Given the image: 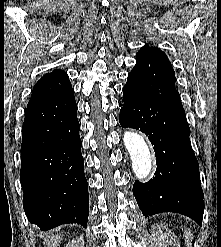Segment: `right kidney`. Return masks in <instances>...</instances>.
Masks as SVG:
<instances>
[{
	"label": "right kidney",
	"mask_w": 221,
	"mask_h": 247,
	"mask_svg": "<svg viewBox=\"0 0 221 247\" xmlns=\"http://www.w3.org/2000/svg\"><path fill=\"white\" fill-rule=\"evenodd\" d=\"M66 247H84L83 235L77 236L71 242H69Z\"/></svg>",
	"instance_id": "ca27d5eb"
}]
</instances>
